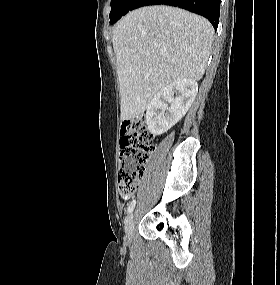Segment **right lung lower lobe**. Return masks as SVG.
Segmentation results:
<instances>
[{"mask_svg": "<svg viewBox=\"0 0 280 285\" xmlns=\"http://www.w3.org/2000/svg\"><path fill=\"white\" fill-rule=\"evenodd\" d=\"M221 0H137L132 8L149 5H170L180 7L206 17L217 29Z\"/></svg>", "mask_w": 280, "mask_h": 285, "instance_id": "98d812e1", "label": "right lung lower lobe"}]
</instances>
